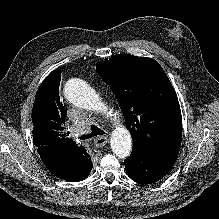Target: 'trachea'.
Listing matches in <instances>:
<instances>
[{
  "mask_svg": "<svg viewBox=\"0 0 219 219\" xmlns=\"http://www.w3.org/2000/svg\"><path fill=\"white\" fill-rule=\"evenodd\" d=\"M90 129H91V132L89 134H87V135H83L82 139H88V138L95 137L97 135H104V134H106L102 129H100L99 127H97L95 125H92Z\"/></svg>",
  "mask_w": 219,
  "mask_h": 219,
  "instance_id": "3493384b",
  "label": "trachea"
}]
</instances>
